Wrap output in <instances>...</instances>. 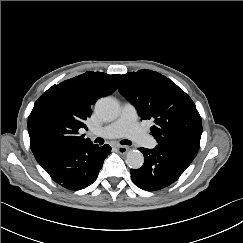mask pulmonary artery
Segmentation results:
<instances>
[{"label":"pulmonary artery","instance_id":"e3ab8cb5","mask_svg":"<svg viewBox=\"0 0 243 243\" xmlns=\"http://www.w3.org/2000/svg\"><path fill=\"white\" fill-rule=\"evenodd\" d=\"M137 111L131 104L126 103L120 117L110 125L98 129H92L91 135L104 138H118L126 136L142 146L153 148L156 140L146 134L137 122Z\"/></svg>","mask_w":243,"mask_h":243}]
</instances>
